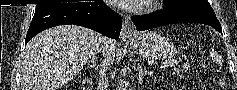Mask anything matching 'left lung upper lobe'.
I'll list each match as a JSON object with an SVG mask.
<instances>
[{"mask_svg":"<svg viewBox=\"0 0 237 90\" xmlns=\"http://www.w3.org/2000/svg\"><path fill=\"white\" fill-rule=\"evenodd\" d=\"M166 9H190L214 13L207 0H165Z\"/></svg>","mask_w":237,"mask_h":90,"instance_id":"5c2ea615","label":"left lung upper lobe"}]
</instances>
